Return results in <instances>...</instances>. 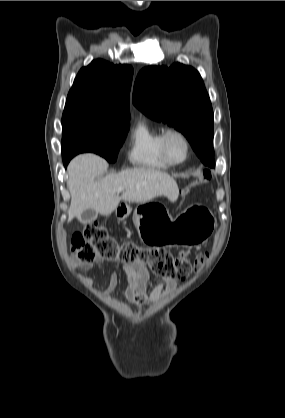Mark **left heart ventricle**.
I'll return each mask as SVG.
<instances>
[{
	"label": "left heart ventricle",
	"mask_w": 285,
	"mask_h": 418,
	"mask_svg": "<svg viewBox=\"0 0 285 418\" xmlns=\"http://www.w3.org/2000/svg\"><path fill=\"white\" fill-rule=\"evenodd\" d=\"M167 149L169 151L170 156L174 160L182 159L185 153V147L182 140L175 135H172L168 138Z\"/></svg>",
	"instance_id": "left-heart-ventricle-1"
}]
</instances>
